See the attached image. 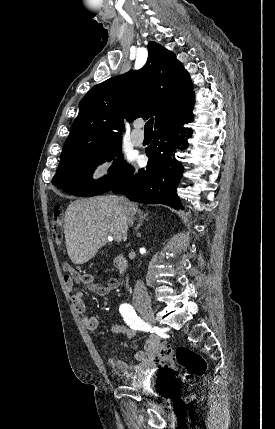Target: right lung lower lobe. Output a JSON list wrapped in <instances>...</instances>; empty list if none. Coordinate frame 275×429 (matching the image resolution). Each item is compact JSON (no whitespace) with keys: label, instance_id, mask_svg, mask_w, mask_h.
I'll use <instances>...</instances> for the list:
<instances>
[{"label":"right lung lower lobe","instance_id":"1","mask_svg":"<svg viewBox=\"0 0 275 429\" xmlns=\"http://www.w3.org/2000/svg\"><path fill=\"white\" fill-rule=\"evenodd\" d=\"M192 121L193 114L157 128L152 144L146 149L149 157L146 169L135 172L132 168L125 180L112 191L125 194L136 202L182 208L176 188L183 167L175 158V150L187 147L192 130L183 125Z\"/></svg>","mask_w":275,"mask_h":429}]
</instances>
